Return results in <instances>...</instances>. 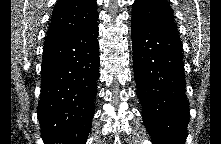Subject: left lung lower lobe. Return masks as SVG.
I'll return each mask as SVG.
<instances>
[{
    "mask_svg": "<svg viewBox=\"0 0 221 144\" xmlns=\"http://www.w3.org/2000/svg\"><path fill=\"white\" fill-rule=\"evenodd\" d=\"M134 78L143 123L153 144H183L189 103L185 95L183 48L176 31L131 19Z\"/></svg>",
    "mask_w": 221,
    "mask_h": 144,
    "instance_id": "obj_1",
    "label": "left lung lower lobe"
}]
</instances>
